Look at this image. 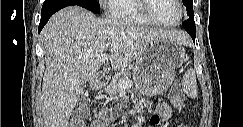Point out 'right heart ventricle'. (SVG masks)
<instances>
[{
	"label": "right heart ventricle",
	"instance_id": "1",
	"mask_svg": "<svg viewBox=\"0 0 243 127\" xmlns=\"http://www.w3.org/2000/svg\"><path fill=\"white\" fill-rule=\"evenodd\" d=\"M140 0H111L109 10L111 17L129 24L153 26L141 12Z\"/></svg>",
	"mask_w": 243,
	"mask_h": 127
}]
</instances>
